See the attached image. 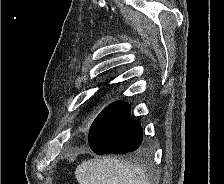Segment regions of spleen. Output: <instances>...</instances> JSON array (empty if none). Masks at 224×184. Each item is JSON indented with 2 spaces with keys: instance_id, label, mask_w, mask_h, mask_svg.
Returning <instances> with one entry per match:
<instances>
[{
  "instance_id": "obj_1",
  "label": "spleen",
  "mask_w": 224,
  "mask_h": 184,
  "mask_svg": "<svg viewBox=\"0 0 224 184\" xmlns=\"http://www.w3.org/2000/svg\"><path fill=\"white\" fill-rule=\"evenodd\" d=\"M75 175L79 184H150L141 167L114 158L83 161Z\"/></svg>"
}]
</instances>
